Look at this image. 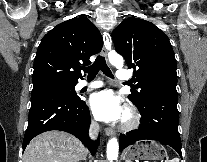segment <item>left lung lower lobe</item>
Returning <instances> with one entry per match:
<instances>
[{
  "mask_svg": "<svg viewBox=\"0 0 207 162\" xmlns=\"http://www.w3.org/2000/svg\"><path fill=\"white\" fill-rule=\"evenodd\" d=\"M177 102L178 97L157 95L137 107L142 115L141 124L138 129L120 135V151L139 140H155L171 146L182 157Z\"/></svg>",
  "mask_w": 207,
  "mask_h": 162,
  "instance_id": "left-lung-lower-lobe-1",
  "label": "left lung lower lobe"
}]
</instances>
